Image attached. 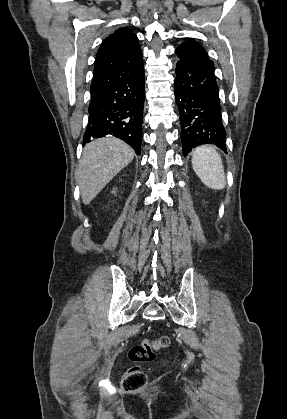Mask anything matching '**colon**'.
Wrapping results in <instances>:
<instances>
[{"instance_id": "5ec220e1", "label": "colon", "mask_w": 287, "mask_h": 419, "mask_svg": "<svg viewBox=\"0 0 287 419\" xmlns=\"http://www.w3.org/2000/svg\"><path fill=\"white\" fill-rule=\"evenodd\" d=\"M168 344L169 338L163 336L158 340H143L131 348L129 359L135 365L123 377L122 388L125 391L139 390L147 385V375L140 364L153 361L156 358V353L167 347Z\"/></svg>"}]
</instances>
